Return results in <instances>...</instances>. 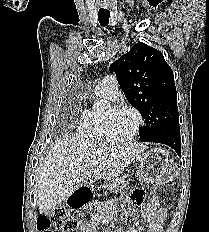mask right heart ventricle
Here are the masks:
<instances>
[{
	"instance_id": "obj_1",
	"label": "right heart ventricle",
	"mask_w": 209,
	"mask_h": 232,
	"mask_svg": "<svg viewBox=\"0 0 209 232\" xmlns=\"http://www.w3.org/2000/svg\"><path fill=\"white\" fill-rule=\"evenodd\" d=\"M101 99L109 98L103 93H96ZM103 112L97 108H89L85 110L77 121V133L84 139L92 142H104L106 137L104 135L102 126Z\"/></svg>"
}]
</instances>
